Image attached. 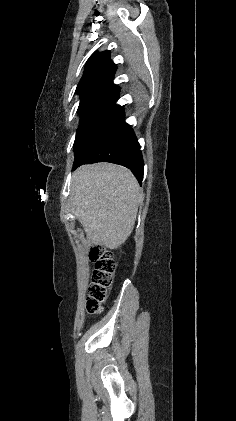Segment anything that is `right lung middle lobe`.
I'll use <instances>...</instances> for the list:
<instances>
[{
	"instance_id": "right-lung-middle-lobe-1",
	"label": "right lung middle lobe",
	"mask_w": 236,
	"mask_h": 421,
	"mask_svg": "<svg viewBox=\"0 0 236 421\" xmlns=\"http://www.w3.org/2000/svg\"><path fill=\"white\" fill-rule=\"evenodd\" d=\"M120 89L108 86L81 94L78 112L80 124L74 142V152L83 142L113 113L118 107L115 102L119 98Z\"/></svg>"
}]
</instances>
